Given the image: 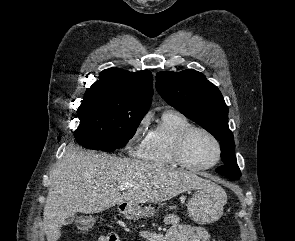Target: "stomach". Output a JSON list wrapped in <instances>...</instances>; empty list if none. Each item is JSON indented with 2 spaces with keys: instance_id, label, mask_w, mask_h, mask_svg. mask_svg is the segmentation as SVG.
Wrapping results in <instances>:
<instances>
[{
  "instance_id": "1",
  "label": "stomach",
  "mask_w": 295,
  "mask_h": 241,
  "mask_svg": "<svg viewBox=\"0 0 295 241\" xmlns=\"http://www.w3.org/2000/svg\"><path fill=\"white\" fill-rule=\"evenodd\" d=\"M227 202L224 189L214 182H208L194 189L192 197L187 203V212L191 219L201 225L217 221L223 214V207ZM120 213L126 218L138 220L155 213L154 208L142 207L139 204L121 203L118 205Z\"/></svg>"
}]
</instances>
